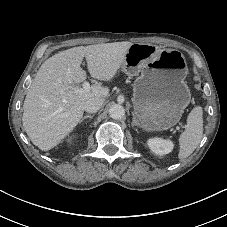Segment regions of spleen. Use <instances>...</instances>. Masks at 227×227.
Returning a JSON list of instances; mask_svg holds the SVG:
<instances>
[{
  "instance_id": "1",
  "label": "spleen",
  "mask_w": 227,
  "mask_h": 227,
  "mask_svg": "<svg viewBox=\"0 0 227 227\" xmlns=\"http://www.w3.org/2000/svg\"><path fill=\"white\" fill-rule=\"evenodd\" d=\"M202 114V108L197 106L188 115L186 129L179 137V159L190 156L199 145L203 135Z\"/></svg>"
}]
</instances>
